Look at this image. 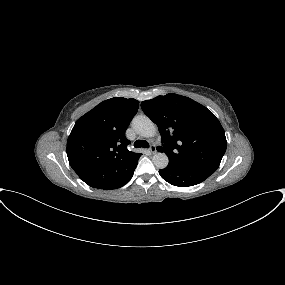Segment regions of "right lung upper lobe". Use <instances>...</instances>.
<instances>
[{"mask_svg":"<svg viewBox=\"0 0 285 285\" xmlns=\"http://www.w3.org/2000/svg\"><path fill=\"white\" fill-rule=\"evenodd\" d=\"M138 107L133 98H111L75 123L67 141V156L73 170L89 186L111 189L133 175L141 154L127 149L130 141L125 131Z\"/></svg>","mask_w":285,"mask_h":285,"instance_id":"cb5924a9","label":"right lung upper lobe"}]
</instances>
